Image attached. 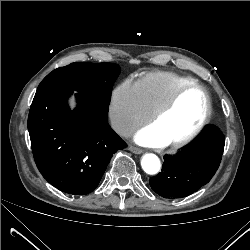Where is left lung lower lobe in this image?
Here are the masks:
<instances>
[{
  "instance_id": "1",
  "label": "left lung lower lobe",
  "mask_w": 250,
  "mask_h": 250,
  "mask_svg": "<svg viewBox=\"0 0 250 250\" xmlns=\"http://www.w3.org/2000/svg\"><path fill=\"white\" fill-rule=\"evenodd\" d=\"M225 138L207 125L203 132L176 155H165L162 171L150 178L154 192L164 198L186 197L205 185L220 165Z\"/></svg>"
}]
</instances>
